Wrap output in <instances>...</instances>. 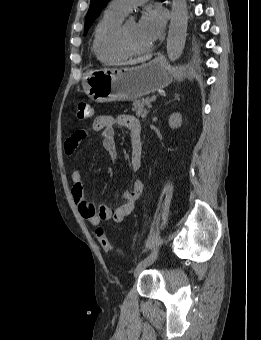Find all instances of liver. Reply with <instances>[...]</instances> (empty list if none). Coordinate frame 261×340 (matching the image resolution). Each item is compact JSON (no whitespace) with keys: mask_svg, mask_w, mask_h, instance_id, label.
I'll list each match as a JSON object with an SVG mask.
<instances>
[{"mask_svg":"<svg viewBox=\"0 0 261 340\" xmlns=\"http://www.w3.org/2000/svg\"><path fill=\"white\" fill-rule=\"evenodd\" d=\"M148 59H149L148 57L139 58V59H136V60L129 61V62H127V64H129V65L138 64V63H142V62H144Z\"/></svg>","mask_w":261,"mask_h":340,"instance_id":"liver-1","label":"liver"}]
</instances>
